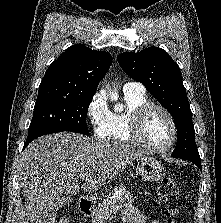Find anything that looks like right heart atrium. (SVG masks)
I'll return each mask as SVG.
<instances>
[{
	"label": "right heart atrium",
	"mask_w": 221,
	"mask_h": 223,
	"mask_svg": "<svg viewBox=\"0 0 221 223\" xmlns=\"http://www.w3.org/2000/svg\"><path fill=\"white\" fill-rule=\"evenodd\" d=\"M110 115L105 95L101 92L95 93L86 109V116L92 128L93 135L98 138H105L110 131Z\"/></svg>",
	"instance_id": "1"
}]
</instances>
